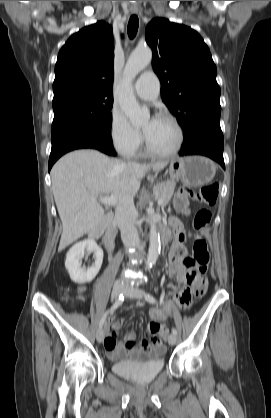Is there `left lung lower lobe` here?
Instances as JSON below:
<instances>
[{
	"mask_svg": "<svg viewBox=\"0 0 271 418\" xmlns=\"http://www.w3.org/2000/svg\"><path fill=\"white\" fill-rule=\"evenodd\" d=\"M223 133L220 123H204L192 127L183 141L180 156L204 155L217 161L225 168L223 159Z\"/></svg>",
	"mask_w": 271,
	"mask_h": 418,
	"instance_id": "obj_1",
	"label": "left lung lower lobe"
}]
</instances>
